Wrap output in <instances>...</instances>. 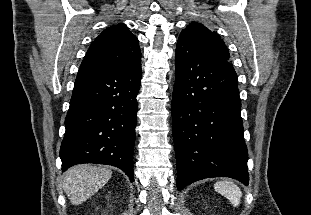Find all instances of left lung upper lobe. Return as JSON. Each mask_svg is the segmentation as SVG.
<instances>
[{
	"label": "left lung upper lobe",
	"instance_id": "obj_1",
	"mask_svg": "<svg viewBox=\"0 0 311 215\" xmlns=\"http://www.w3.org/2000/svg\"><path fill=\"white\" fill-rule=\"evenodd\" d=\"M180 38L198 44L212 53L229 61V51L220 36L200 23L193 22L182 30Z\"/></svg>",
	"mask_w": 311,
	"mask_h": 215
}]
</instances>
